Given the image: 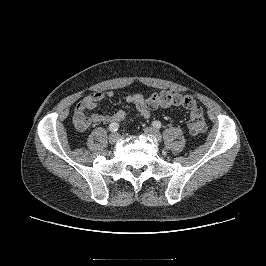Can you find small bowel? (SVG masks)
<instances>
[{"mask_svg": "<svg viewBox=\"0 0 266 266\" xmlns=\"http://www.w3.org/2000/svg\"><path fill=\"white\" fill-rule=\"evenodd\" d=\"M115 96V93L111 90L102 92L97 91L85 96L78 102L73 113V123L75 128L83 132L93 125L110 122H123L128 117V114L124 110H118L111 115H103L99 113L88 114L95 110L101 101L105 98L111 99ZM125 101L135 106L137 112L144 118L150 116L151 110L146 105V100L142 94H133L125 97Z\"/></svg>", "mask_w": 266, "mask_h": 266, "instance_id": "obj_1", "label": "small bowel"}]
</instances>
